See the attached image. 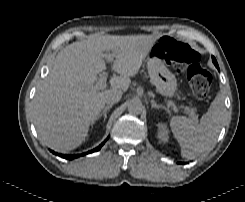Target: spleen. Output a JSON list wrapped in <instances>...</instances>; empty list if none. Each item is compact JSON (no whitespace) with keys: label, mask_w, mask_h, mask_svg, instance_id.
Returning a JSON list of instances; mask_svg holds the SVG:
<instances>
[{"label":"spleen","mask_w":245,"mask_h":202,"mask_svg":"<svg viewBox=\"0 0 245 202\" xmlns=\"http://www.w3.org/2000/svg\"><path fill=\"white\" fill-rule=\"evenodd\" d=\"M223 97L218 94L200 122L183 116L170 119L171 131L181 147V156L194 159L214 145L225 116Z\"/></svg>","instance_id":"1"}]
</instances>
